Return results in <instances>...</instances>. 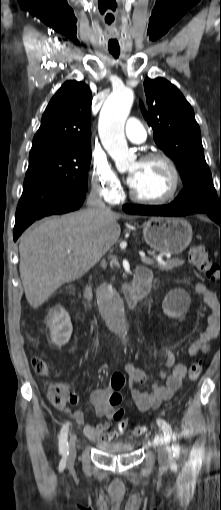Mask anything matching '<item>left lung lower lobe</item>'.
<instances>
[{
    "label": "left lung lower lobe",
    "mask_w": 221,
    "mask_h": 510,
    "mask_svg": "<svg viewBox=\"0 0 221 510\" xmlns=\"http://www.w3.org/2000/svg\"><path fill=\"white\" fill-rule=\"evenodd\" d=\"M123 210L131 214L160 216H185L194 213H206L210 219L221 227V210L217 209H182L171 203L163 206L124 205Z\"/></svg>",
    "instance_id": "1"
}]
</instances>
